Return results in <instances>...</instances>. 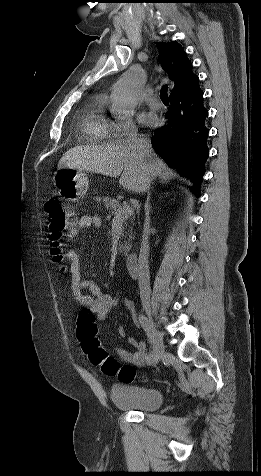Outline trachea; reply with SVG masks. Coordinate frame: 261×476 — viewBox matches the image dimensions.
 Masks as SVG:
<instances>
[{
	"label": "trachea",
	"instance_id": "obj_1",
	"mask_svg": "<svg viewBox=\"0 0 261 476\" xmlns=\"http://www.w3.org/2000/svg\"><path fill=\"white\" fill-rule=\"evenodd\" d=\"M160 98L162 101H169L168 97V86H163L161 91H160Z\"/></svg>",
	"mask_w": 261,
	"mask_h": 476
}]
</instances>
